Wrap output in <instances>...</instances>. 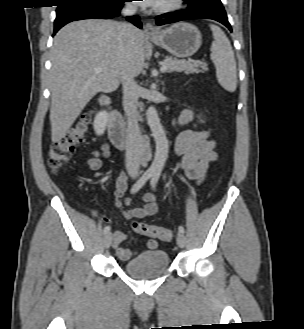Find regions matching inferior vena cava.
<instances>
[{
  "label": "inferior vena cava",
  "mask_w": 304,
  "mask_h": 329,
  "mask_svg": "<svg viewBox=\"0 0 304 329\" xmlns=\"http://www.w3.org/2000/svg\"><path fill=\"white\" fill-rule=\"evenodd\" d=\"M137 8L127 3L122 14L133 15ZM134 26L124 22L119 25V33L121 40L126 43L131 36ZM121 82L123 88V107L127 117V145H126V168L131 177L139 175V164L142 150L144 149L143 141L138 124V99L139 86L135 82L134 77L130 74L128 64H123L121 72Z\"/></svg>",
  "instance_id": "obj_1"
}]
</instances>
